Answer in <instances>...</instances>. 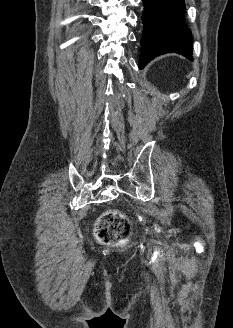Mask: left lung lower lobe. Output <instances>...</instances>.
<instances>
[{
	"label": "left lung lower lobe",
	"mask_w": 233,
	"mask_h": 328,
	"mask_svg": "<svg viewBox=\"0 0 233 328\" xmlns=\"http://www.w3.org/2000/svg\"><path fill=\"white\" fill-rule=\"evenodd\" d=\"M143 3L139 68L167 52H176L193 60L191 32L183 22L184 0H143Z\"/></svg>",
	"instance_id": "left-lung-lower-lobe-1"
}]
</instances>
